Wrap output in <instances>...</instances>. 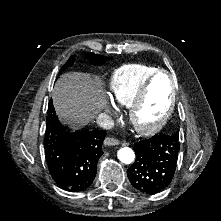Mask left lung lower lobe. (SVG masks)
Wrapping results in <instances>:
<instances>
[{
    "label": "left lung lower lobe",
    "mask_w": 221,
    "mask_h": 221,
    "mask_svg": "<svg viewBox=\"0 0 221 221\" xmlns=\"http://www.w3.org/2000/svg\"><path fill=\"white\" fill-rule=\"evenodd\" d=\"M179 136L156 134L135 143V162L127 171L132 186L141 193L153 195L165 189L173 179Z\"/></svg>",
    "instance_id": "left-lung-lower-lobe-1"
}]
</instances>
